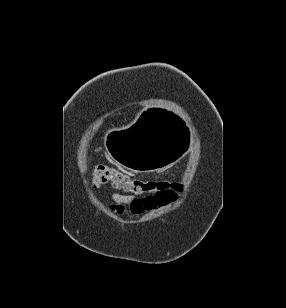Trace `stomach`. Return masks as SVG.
<instances>
[{
  "label": "stomach",
  "instance_id": "stomach-1",
  "mask_svg": "<svg viewBox=\"0 0 286 308\" xmlns=\"http://www.w3.org/2000/svg\"><path fill=\"white\" fill-rule=\"evenodd\" d=\"M143 118H128L126 122H107V154L115 164L138 173H159L171 168L177 153H190L194 142H188L183 132L191 125L180 118V112H158V107H142ZM127 124L130 130H127Z\"/></svg>",
  "mask_w": 286,
  "mask_h": 308
}]
</instances>
